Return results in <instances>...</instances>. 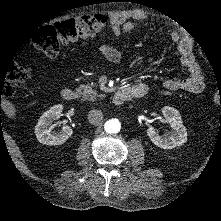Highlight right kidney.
I'll list each match as a JSON object with an SVG mask.
<instances>
[{"label": "right kidney", "mask_w": 221, "mask_h": 221, "mask_svg": "<svg viewBox=\"0 0 221 221\" xmlns=\"http://www.w3.org/2000/svg\"><path fill=\"white\" fill-rule=\"evenodd\" d=\"M62 110L63 105L57 104L50 107L49 110L40 116L35 126V135L40 143L45 145H61L71 137L73 131L68 125L62 126L60 131L53 130L55 127L53 121L61 117Z\"/></svg>", "instance_id": "1"}]
</instances>
